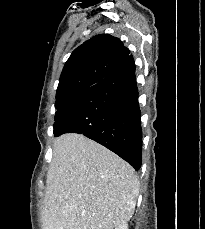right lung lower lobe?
<instances>
[{
  "mask_svg": "<svg viewBox=\"0 0 205 229\" xmlns=\"http://www.w3.org/2000/svg\"><path fill=\"white\" fill-rule=\"evenodd\" d=\"M55 136L82 133L141 167L142 130L132 55L55 114Z\"/></svg>",
  "mask_w": 205,
  "mask_h": 229,
  "instance_id": "1",
  "label": "right lung lower lobe"
}]
</instances>
